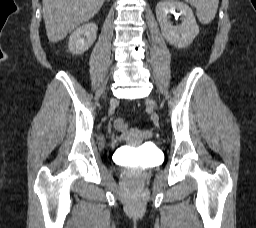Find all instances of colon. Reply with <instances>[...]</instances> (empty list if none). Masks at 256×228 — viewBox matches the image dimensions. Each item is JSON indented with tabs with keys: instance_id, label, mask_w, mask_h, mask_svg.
Segmentation results:
<instances>
[{
	"instance_id": "1",
	"label": "colon",
	"mask_w": 256,
	"mask_h": 228,
	"mask_svg": "<svg viewBox=\"0 0 256 228\" xmlns=\"http://www.w3.org/2000/svg\"><path fill=\"white\" fill-rule=\"evenodd\" d=\"M113 126L119 132H123L127 129V124L125 123L124 120H122L120 118H118L114 121Z\"/></svg>"
}]
</instances>
